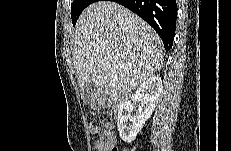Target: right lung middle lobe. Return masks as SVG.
Instances as JSON below:
<instances>
[{
    "mask_svg": "<svg viewBox=\"0 0 231 151\" xmlns=\"http://www.w3.org/2000/svg\"><path fill=\"white\" fill-rule=\"evenodd\" d=\"M95 0H74L71 5V18L73 25L76 24L82 11L90 4L94 3Z\"/></svg>",
    "mask_w": 231,
    "mask_h": 151,
    "instance_id": "right-lung-middle-lobe-1",
    "label": "right lung middle lobe"
}]
</instances>
